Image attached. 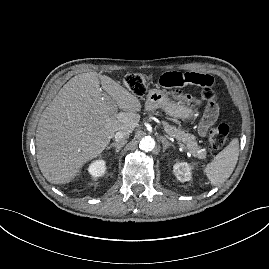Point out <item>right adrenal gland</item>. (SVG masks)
<instances>
[{
    "instance_id": "2a0ac1e0",
    "label": "right adrenal gland",
    "mask_w": 269,
    "mask_h": 269,
    "mask_svg": "<svg viewBox=\"0 0 269 269\" xmlns=\"http://www.w3.org/2000/svg\"><path fill=\"white\" fill-rule=\"evenodd\" d=\"M125 143H126V142H119V143L114 142V143L110 144L109 146H107V147H106V150H109V149H111L112 147H115V148H116V149H115L116 153H119L120 149L125 145Z\"/></svg>"
}]
</instances>
